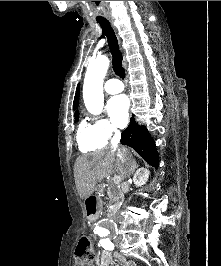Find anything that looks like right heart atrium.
I'll list each match as a JSON object with an SVG mask.
<instances>
[{"label": "right heart atrium", "mask_w": 221, "mask_h": 266, "mask_svg": "<svg viewBox=\"0 0 221 266\" xmlns=\"http://www.w3.org/2000/svg\"><path fill=\"white\" fill-rule=\"evenodd\" d=\"M94 125L98 134L106 141L112 139L117 134H119V130L117 129V127L104 117L97 118L95 120Z\"/></svg>", "instance_id": "obj_1"}]
</instances>
